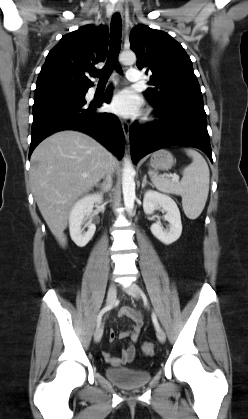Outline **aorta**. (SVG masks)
<instances>
[{"label":"aorta","instance_id":"aorta-1","mask_svg":"<svg viewBox=\"0 0 248 419\" xmlns=\"http://www.w3.org/2000/svg\"><path fill=\"white\" fill-rule=\"evenodd\" d=\"M120 61L124 65H132L136 62V55L132 51H123L119 56ZM135 170L129 158L124 159V167L122 172V192L124 204L129 214L132 213L135 201Z\"/></svg>","mask_w":248,"mask_h":419}]
</instances>
